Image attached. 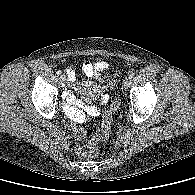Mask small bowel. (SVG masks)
Instances as JSON below:
<instances>
[{"instance_id":"c3829d8e","label":"small bowel","mask_w":195,"mask_h":195,"mask_svg":"<svg viewBox=\"0 0 195 195\" xmlns=\"http://www.w3.org/2000/svg\"><path fill=\"white\" fill-rule=\"evenodd\" d=\"M109 68L107 62L101 61L96 63L84 62L82 64V70L85 75L89 78H96L99 81H102L101 71ZM67 78L69 87L71 89L77 90L88 99H91L90 85L86 82L79 83L76 81V73L74 69H67ZM95 93L101 92V102L106 103L109 100V94L106 88L103 91H100V87L94 85L93 87ZM64 98L67 102L65 106V112L67 116L76 123H82L85 121L86 117H97L100 114V109L95 106H87L80 100H78L70 90H67L64 93Z\"/></svg>"}]
</instances>
